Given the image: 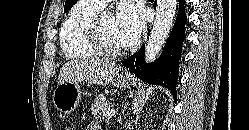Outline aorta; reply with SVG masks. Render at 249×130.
I'll return each instance as SVG.
<instances>
[{"mask_svg":"<svg viewBox=\"0 0 249 130\" xmlns=\"http://www.w3.org/2000/svg\"><path fill=\"white\" fill-rule=\"evenodd\" d=\"M177 0H157L156 17L145 49V61L152 62L165 43L176 14Z\"/></svg>","mask_w":249,"mask_h":130,"instance_id":"obj_1","label":"aorta"}]
</instances>
